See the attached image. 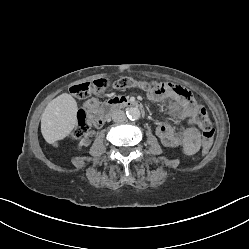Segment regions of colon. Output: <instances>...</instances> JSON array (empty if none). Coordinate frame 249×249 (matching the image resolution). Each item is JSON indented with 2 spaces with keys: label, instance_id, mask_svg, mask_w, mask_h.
<instances>
[{
  "label": "colon",
  "instance_id": "obj_1",
  "mask_svg": "<svg viewBox=\"0 0 249 249\" xmlns=\"http://www.w3.org/2000/svg\"><path fill=\"white\" fill-rule=\"evenodd\" d=\"M107 87H113L117 89L137 87L145 91H154V87L146 81L136 80L131 77H121L115 81H106L100 79L77 83L70 87V93L78 99H85L101 93ZM98 113V103L93 99L87 100L84 104V107L81 108L77 114V125L73 131V137L75 139H83L86 136V133L90 131L93 124L97 122ZM195 122L202 132V153L205 154L212 145L214 127L209 114L204 107H200L198 109L195 115Z\"/></svg>",
  "mask_w": 249,
  "mask_h": 249
}]
</instances>
